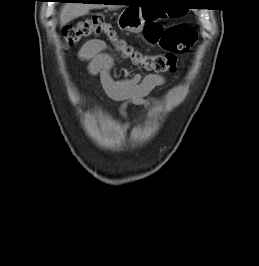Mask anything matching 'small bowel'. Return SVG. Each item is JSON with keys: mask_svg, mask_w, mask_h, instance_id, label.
I'll list each match as a JSON object with an SVG mask.
<instances>
[{"mask_svg": "<svg viewBox=\"0 0 259 266\" xmlns=\"http://www.w3.org/2000/svg\"><path fill=\"white\" fill-rule=\"evenodd\" d=\"M106 45L101 40H90L83 45L80 57L87 62L89 72L99 76L106 95L120 103L119 113L124 119H128L127 108L129 105L149 107L157 101L151 96L153 90L165 82V78L159 74H140L129 78L116 80L112 75L114 58L105 52ZM176 90L169 93V97Z\"/></svg>", "mask_w": 259, "mask_h": 266, "instance_id": "small-bowel-1", "label": "small bowel"}]
</instances>
